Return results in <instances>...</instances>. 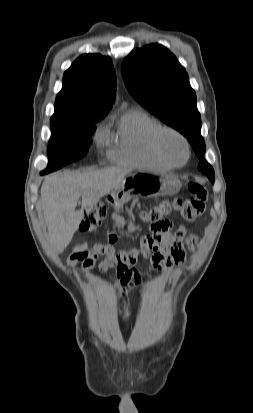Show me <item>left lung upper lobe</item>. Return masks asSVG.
Instances as JSON below:
<instances>
[{
  "label": "left lung upper lobe",
  "mask_w": 253,
  "mask_h": 413,
  "mask_svg": "<svg viewBox=\"0 0 253 413\" xmlns=\"http://www.w3.org/2000/svg\"><path fill=\"white\" fill-rule=\"evenodd\" d=\"M122 76L137 102L188 139L200 158L198 169L214 183V170L202 159L205 144L196 94L176 57L159 44L135 49L122 63Z\"/></svg>",
  "instance_id": "5c2ea615"
}]
</instances>
